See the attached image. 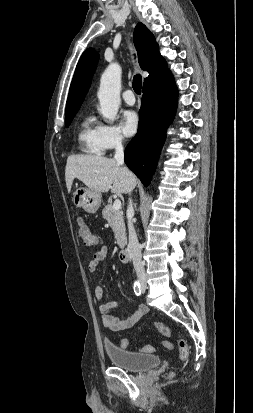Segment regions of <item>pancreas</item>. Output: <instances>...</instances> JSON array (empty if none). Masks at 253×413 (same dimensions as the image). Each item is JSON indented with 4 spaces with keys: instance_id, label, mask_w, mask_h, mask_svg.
Listing matches in <instances>:
<instances>
[{
    "instance_id": "pancreas-1",
    "label": "pancreas",
    "mask_w": 253,
    "mask_h": 413,
    "mask_svg": "<svg viewBox=\"0 0 253 413\" xmlns=\"http://www.w3.org/2000/svg\"><path fill=\"white\" fill-rule=\"evenodd\" d=\"M102 215L112 228L117 244L119 247H123L126 243L123 212L114 210L112 203H110L102 210Z\"/></svg>"
}]
</instances>
